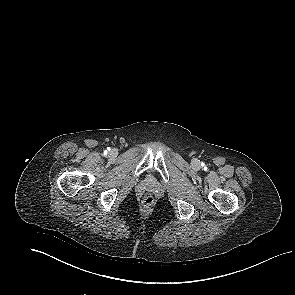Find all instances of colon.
I'll return each mask as SVG.
<instances>
[{
  "label": "colon",
  "instance_id": "5ec220e1",
  "mask_svg": "<svg viewBox=\"0 0 295 295\" xmlns=\"http://www.w3.org/2000/svg\"><path fill=\"white\" fill-rule=\"evenodd\" d=\"M153 196H152V194H146L145 196H144V203L145 204H147V205H149V204H151V203H153Z\"/></svg>",
  "mask_w": 295,
  "mask_h": 295
}]
</instances>
